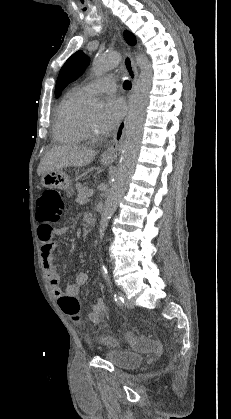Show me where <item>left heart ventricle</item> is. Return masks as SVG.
<instances>
[{"instance_id": "b2bd125f", "label": "left heart ventricle", "mask_w": 231, "mask_h": 419, "mask_svg": "<svg viewBox=\"0 0 231 419\" xmlns=\"http://www.w3.org/2000/svg\"><path fill=\"white\" fill-rule=\"evenodd\" d=\"M86 115H87L88 120L90 121L91 125L94 127V129L96 131L100 132L99 129H98V126H97V120H98V117H99L98 113L90 112V113H87Z\"/></svg>"}]
</instances>
